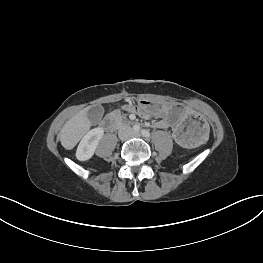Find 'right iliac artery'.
<instances>
[{
    "mask_svg": "<svg viewBox=\"0 0 263 263\" xmlns=\"http://www.w3.org/2000/svg\"><path fill=\"white\" fill-rule=\"evenodd\" d=\"M135 130H136V131H139V130H140V127H139V126H136V127H135Z\"/></svg>",
    "mask_w": 263,
    "mask_h": 263,
    "instance_id": "obj_1",
    "label": "right iliac artery"
}]
</instances>
